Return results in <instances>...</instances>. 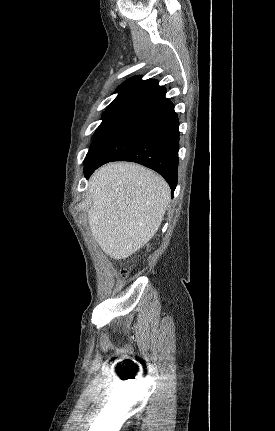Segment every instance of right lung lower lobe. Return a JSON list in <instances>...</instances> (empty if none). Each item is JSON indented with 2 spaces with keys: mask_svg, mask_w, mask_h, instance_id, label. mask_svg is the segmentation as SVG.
I'll return each instance as SVG.
<instances>
[{
  "mask_svg": "<svg viewBox=\"0 0 275 431\" xmlns=\"http://www.w3.org/2000/svg\"><path fill=\"white\" fill-rule=\"evenodd\" d=\"M179 121L165 96L141 108L84 167L86 178L111 161H131L158 172L172 193L177 184Z\"/></svg>",
  "mask_w": 275,
  "mask_h": 431,
  "instance_id": "98d812e1",
  "label": "right lung lower lobe"
}]
</instances>
